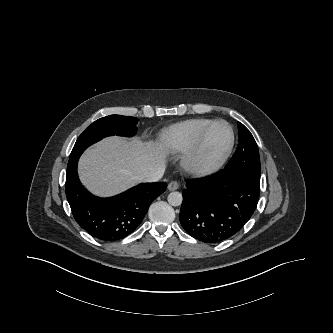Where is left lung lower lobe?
<instances>
[{
  "label": "left lung lower lobe",
  "instance_id": "left-lung-lower-lobe-1",
  "mask_svg": "<svg viewBox=\"0 0 333 333\" xmlns=\"http://www.w3.org/2000/svg\"><path fill=\"white\" fill-rule=\"evenodd\" d=\"M182 192L180 223L204 243H218L239 232L254 213L260 182L234 169L190 180Z\"/></svg>",
  "mask_w": 333,
  "mask_h": 333
}]
</instances>
